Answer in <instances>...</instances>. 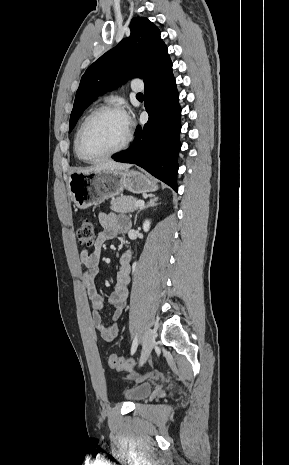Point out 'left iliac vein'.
Instances as JSON below:
<instances>
[{
    "label": "left iliac vein",
    "mask_w": 289,
    "mask_h": 465,
    "mask_svg": "<svg viewBox=\"0 0 289 465\" xmlns=\"http://www.w3.org/2000/svg\"><path fill=\"white\" fill-rule=\"evenodd\" d=\"M155 344V333L148 328L143 337V348L141 352L140 364H143L150 355V352Z\"/></svg>",
    "instance_id": "4c4485c4"
}]
</instances>
